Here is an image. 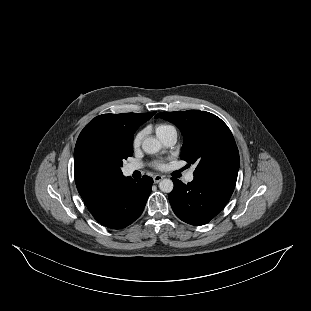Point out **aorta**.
<instances>
[{"instance_id": "aorta-1", "label": "aorta", "mask_w": 311, "mask_h": 311, "mask_svg": "<svg viewBox=\"0 0 311 311\" xmlns=\"http://www.w3.org/2000/svg\"><path fill=\"white\" fill-rule=\"evenodd\" d=\"M142 149L148 154L158 153L161 149V143L158 139L153 137L146 138L142 143ZM159 189L162 192L170 193L173 190V182L170 179H163L159 183Z\"/></svg>"}]
</instances>
